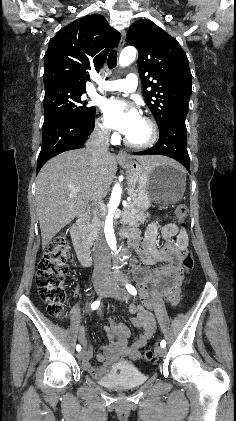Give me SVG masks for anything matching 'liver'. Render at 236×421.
<instances>
[{
    "label": "liver",
    "instance_id": "liver-1",
    "mask_svg": "<svg viewBox=\"0 0 236 421\" xmlns=\"http://www.w3.org/2000/svg\"><path fill=\"white\" fill-rule=\"evenodd\" d=\"M135 158L143 166L171 164L183 170V166L172 158L155 154ZM116 170L114 154H103L101 162L93 164L89 152L84 148L61 152L42 166L36 178V211L42 249L84 211L90 200H95L96 194H107Z\"/></svg>",
    "mask_w": 236,
    "mask_h": 421
}]
</instances>
